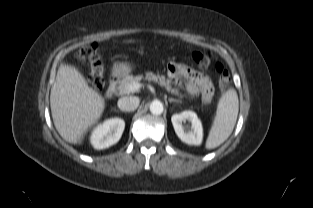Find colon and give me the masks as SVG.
I'll return each instance as SVG.
<instances>
[{
    "label": "colon",
    "mask_w": 313,
    "mask_h": 208,
    "mask_svg": "<svg viewBox=\"0 0 313 208\" xmlns=\"http://www.w3.org/2000/svg\"><path fill=\"white\" fill-rule=\"evenodd\" d=\"M78 56L90 64L91 73L90 80L94 87L101 89L104 85L103 68L98 53V46L96 43L89 44L81 48ZM192 59L200 66H207L210 63V56L201 51H194ZM216 70L219 74L218 82L221 87L228 85L230 77L228 71L221 63L215 64Z\"/></svg>",
    "instance_id": "obj_1"
}]
</instances>
